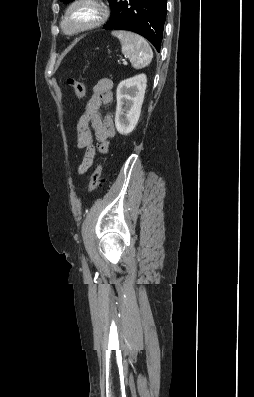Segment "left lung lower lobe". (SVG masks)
<instances>
[{"label":"left lung lower lobe","mask_w":254,"mask_h":397,"mask_svg":"<svg viewBox=\"0 0 254 397\" xmlns=\"http://www.w3.org/2000/svg\"><path fill=\"white\" fill-rule=\"evenodd\" d=\"M166 0H113L104 29H123L148 39L159 52L166 19Z\"/></svg>","instance_id":"obj_1"}]
</instances>
